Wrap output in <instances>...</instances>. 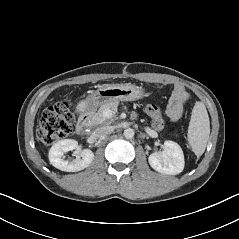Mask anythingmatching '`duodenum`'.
Wrapping results in <instances>:
<instances>
[{
	"label": "duodenum",
	"instance_id": "410a0bca",
	"mask_svg": "<svg viewBox=\"0 0 239 239\" xmlns=\"http://www.w3.org/2000/svg\"><path fill=\"white\" fill-rule=\"evenodd\" d=\"M89 123H90V114L86 113L82 116L77 126L78 133L81 134L84 131V129L88 127Z\"/></svg>",
	"mask_w": 239,
	"mask_h": 239
}]
</instances>
